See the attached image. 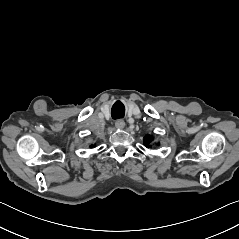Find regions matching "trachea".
Segmentation results:
<instances>
[{
    "label": "trachea",
    "instance_id": "obj_1",
    "mask_svg": "<svg viewBox=\"0 0 239 239\" xmlns=\"http://www.w3.org/2000/svg\"><path fill=\"white\" fill-rule=\"evenodd\" d=\"M125 115V108L114 105L112 107V118L114 120L122 119Z\"/></svg>",
    "mask_w": 239,
    "mask_h": 239
}]
</instances>
